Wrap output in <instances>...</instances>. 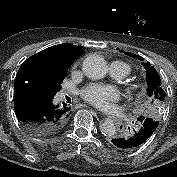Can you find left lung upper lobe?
<instances>
[{"instance_id":"5c2ea615","label":"left lung upper lobe","mask_w":177,"mask_h":177,"mask_svg":"<svg viewBox=\"0 0 177 177\" xmlns=\"http://www.w3.org/2000/svg\"><path fill=\"white\" fill-rule=\"evenodd\" d=\"M126 54L131 57H136V55L132 53L126 52ZM142 65L146 69V80L148 85L147 96L150 104L147 112L145 113V117H149L154 119L155 121H158L166 99V93L156 69L151 66L149 62L142 63ZM145 117L141 116L140 118H138V120L140 121L142 118Z\"/></svg>"}]
</instances>
